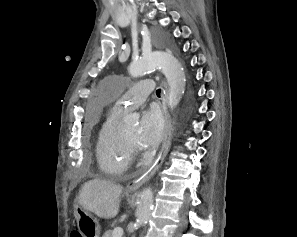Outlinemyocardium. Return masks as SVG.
<instances>
[{"mask_svg":"<svg viewBox=\"0 0 297 237\" xmlns=\"http://www.w3.org/2000/svg\"><path fill=\"white\" fill-rule=\"evenodd\" d=\"M122 140L127 146V148L131 151V153H137L138 152V146L135 144L129 142L124 136H122Z\"/></svg>","mask_w":297,"mask_h":237,"instance_id":"1","label":"myocardium"}]
</instances>
